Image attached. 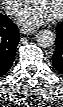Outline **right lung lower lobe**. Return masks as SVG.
Returning a JSON list of instances; mask_svg holds the SVG:
<instances>
[{
    "instance_id": "1",
    "label": "right lung lower lobe",
    "mask_w": 63,
    "mask_h": 107,
    "mask_svg": "<svg viewBox=\"0 0 63 107\" xmlns=\"http://www.w3.org/2000/svg\"><path fill=\"white\" fill-rule=\"evenodd\" d=\"M18 42L17 26L7 16L0 14V77L11 68Z\"/></svg>"
}]
</instances>
